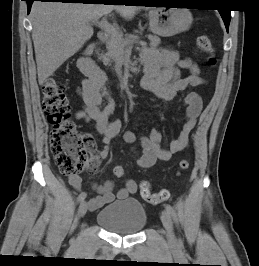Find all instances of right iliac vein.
Wrapping results in <instances>:
<instances>
[{
	"mask_svg": "<svg viewBox=\"0 0 259 266\" xmlns=\"http://www.w3.org/2000/svg\"><path fill=\"white\" fill-rule=\"evenodd\" d=\"M87 208H88V206H87V203L86 202H82L80 204L79 209H78V215H79V217H83L86 214Z\"/></svg>",
	"mask_w": 259,
	"mask_h": 266,
	"instance_id": "63e3f726",
	"label": "right iliac vein"
}]
</instances>
